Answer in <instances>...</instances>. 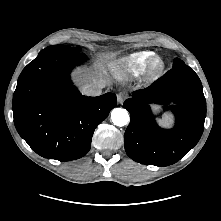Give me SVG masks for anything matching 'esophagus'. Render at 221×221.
Masks as SVG:
<instances>
[{
	"instance_id": "34e87169",
	"label": "esophagus",
	"mask_w": 221,
	"mask_h": 221,
	"mask_svg": "<svg viewBox=\"0 0 221 221\" xmlns=\"http://www.w3.org/2000/svg\"><path fill=\"white\" fill-rule=\"evenodd\" d=\"M126 98H127V94L124 92H120L117 94V101L119 104H123Z\"/></svg>"
}]
</instances>
